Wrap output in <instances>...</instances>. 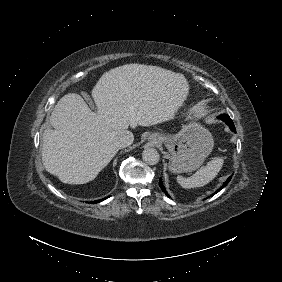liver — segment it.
I'll use <instances>...</instances> for the list:
<instances>
[{
	"label": "liver",
	"mask_w": 282,
	"mask_h": 282,
	"mask_svg": "<svg viewBox=\"0 0 282 282\" xmlns=\"http://www.w3.org/2000/svg\"><path fill=\"white\" fill-rule=\"evenodd\" d=\"M188 92L184 75L157 66L126 64L105 72L92 90L97 113L75 93L55 105L54 130L43 134L46 171L68 184L94 180L118 151L116 135L173 119Z\"/></svg>",
	"instance_id": "6515ba94"
}]
</instances>
